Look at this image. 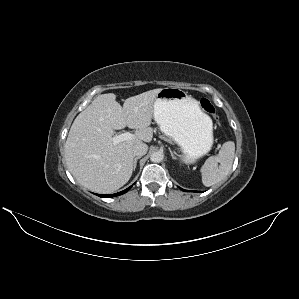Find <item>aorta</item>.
<instances>
[{
	"mask_svg": "<svg viewBox=\"0 0 299 299\" xmlns=\"http://www.w3.org/2000/svg\"><path fill=\"white\" fill-rule=\"evenodd\" d=\"M164 155L162 152L157 151L151 154L150 159L152 162L159 163L163 160Z\"/></svg>",
	"mask_w": 299,
	"mask_h": 299,
	"instance_id": "aorta-1",
	"label": "aorta"
}]
</instances>
